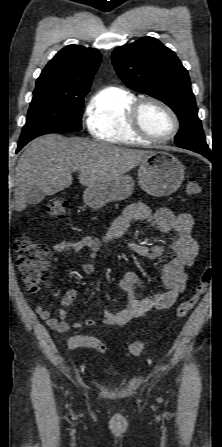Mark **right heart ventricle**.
<instances>
[{
	"label": "right heart ventricle",
	"instance_id": "1",
	"mask_svg": "<svg viewBox=\"0 0 222 447\" xmlns=\"http://www.w3.org/2000/svg\"><path fill=\"white\" fill-rule=\"evenodd\" d=\"M136 95L119 87L103 89L92 101L86 124L96 140L121 145L147 143L131 127L129 111Z\"/></svg>",
	"mask_w": 222,
	"mask_h": 447
}]
</instances>
